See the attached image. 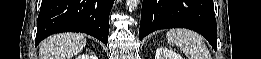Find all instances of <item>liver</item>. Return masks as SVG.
I'll return each mask as SVG.
<instances>
[{"label":"liver","instance_id":"obj_1","mask_svg":"<svg viewBox=\"0 0 261 59\" xmlns=\"http://www.w3.org/2000/svg\"><path fill=\"white\" fill-rule=\"evenodd\" d=\"M86 45L82 34L62 33L50 36L40 44V59H71Z\"/></svg>","mask_w":261,"mask_h":59}]
</instances>
